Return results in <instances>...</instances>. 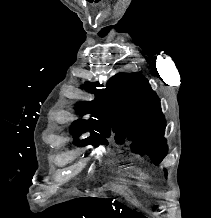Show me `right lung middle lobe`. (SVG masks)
<instances>
[{
    "instance_id": "right-lung-middle-lobe-1",
    "label": "right lung middle lobe",
    "mask_w": 211,
    "mask_h": 218,
    "mask_svg": "<svg viewBox=\"0 0 211 218\" xmlns=\"http://www.w3.org/2000/svg\"><path fill=\"white\" fill-rule=\"evenodd\" d=\"M71 132L74 136H77L79 135L81 132H84V131H81V130H78V129H74V128H71ZM105 135H99V134H91V136L85 140H82V141H77L76 143L77 144H80L81 143V146H85V145H88V144H92L94 146H98L99 143H104L106 144L107 143V140L105 139Z\"/></svg>"
}]
</instances>
